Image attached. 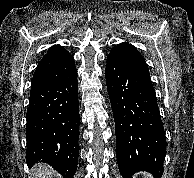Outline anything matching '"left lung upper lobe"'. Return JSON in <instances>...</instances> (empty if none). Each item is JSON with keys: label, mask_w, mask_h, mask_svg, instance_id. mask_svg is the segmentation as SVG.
I'll use <instances>...</instances> for the list:
<instances>
[{"label": "left lung upper lobe", "mask_w": 194, "mask_h": 178, "mask_svg": "<svg viewBox=\"0 0 194 178\" xmlns=\"http://www.w3.org/2000/svg\"><path fill=\"white\" fill-rule=\"evenodd\" d=\"M108 57L113 58L120 63L144 74L150 75L144 58L141 56L140 52L131 44H117L111 49Z\"/></svg>", "instance_id": "left-lung-upper-lobe-1"}]
</instances>
